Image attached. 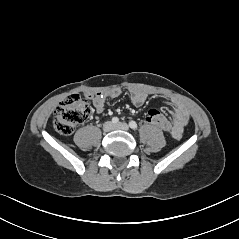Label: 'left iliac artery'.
Masks as SVG:
<instances>
[{
  "mask_svg": "<svg viewBox=\"0 0 239 239\" xmlns=\"http://www.w3.org/2000/svg\"><path fill=\"white\" fill-rule=\"evenodd\" d=\"M129 126L130 128H132L133 130H136L137 129V123L135 121H130L129 122Z\"/></svg>",
  "mask_w": 239,
  "mask_h": 239,
  "instance_id": "left-iliac-artery-1",
  "label": "left iliac artery"
}]
</instances>
